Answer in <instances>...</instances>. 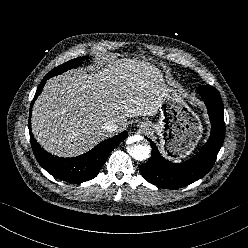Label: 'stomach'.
Here are the masks:
<instances>
[{
	"instance_id": "stomach-1",
	"label": "stomach",
	"mask_w": 248,
	"mask_h": 248,
	"mask_svg": "<svg viewBox=\"0 0 248 248\" xmlns=\"http://www.w3.org/2000/svg\"><path fill=\"white\" fill-rule=\"evenodd\" d=\"M157 123L141 122L149 131L159 136L164 154L168 158L187 157L202 137L203 127L199 117L173 88L166 87L160 99Z\"/></svg>"
}]
</instances>
